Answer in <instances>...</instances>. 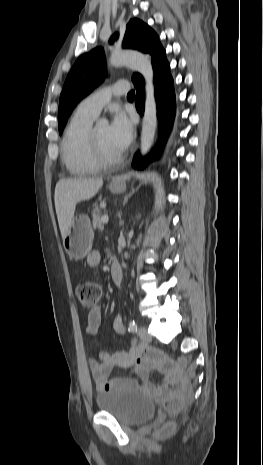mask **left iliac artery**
<instances>
[{"mask_svg":"<svg viewBox=\"0 0 263 465\" xmlns=\"http://www.w3.org/2000/svg\"><path fill=\"white\" fill-rule=\"evenodd\" d=\"M128 330L131 333H136L137 332V324H136V322L134 320L130 321Z\"/></svg>","mask_w":263,"mask_h":465,"instance_id":"44dca946","label":"left iliac artery"}]
</instances>
